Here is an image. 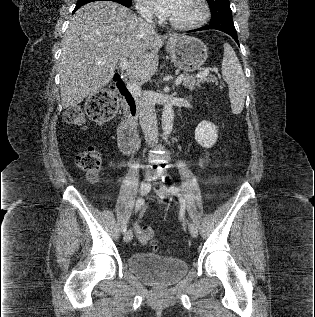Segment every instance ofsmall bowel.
<instances>
[{"mask_svg":"<svg viewBox=\"0 0 315 317\" xmlns=\"http://www.w3.org/2000/svg\"><path fill=\"white\" fill-rule=\"evenodd\" d=\"M209 161H210V154H209V153H205V154L203 155V157H202V158L200 159V161H199V166H200V168H204V167L209 163ZM143 212H144V211H143ZM143 212L141 213L140 217L143 216ZM134 229H135L137 235L140 237L141 227H140V224H139L138 222L135 223Z\"/></svg>","mask_w":315,"mask_h":317,"instance_id":"obj_1","label":"small bowel"}]
</instances>
